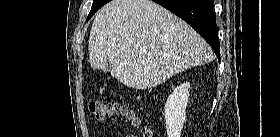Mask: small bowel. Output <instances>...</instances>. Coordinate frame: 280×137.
<instances>
[{"mask_svg": "<svg viewBox=\"0 0 280 137\" xmlns=\"http://www.w3.org/2000/svg\"><path fill=\"white\" fill-rule=\"evenodd\" d=\"M126 137H133L132 135H127Z\"/></svg>", "mask_w": 280, "mask_h": 137, "instance_id": "1", "label": "small bowel"}]
</instances>
